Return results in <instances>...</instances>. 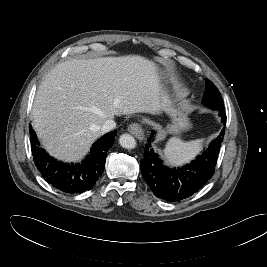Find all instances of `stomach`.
<instances>
[{
  "mask_svg": "<svg viewBox=\"0 0 267 267\" xmlns=\"http://www.w3.org/2000/svg\"><path fill=\"white\" fill-rule=\"evenodd\" d=\"M163 111L166 112L172 119V123L166 127V132L171 134H179L180 132L186 131L191 127L190 121L186 114L176 109L173 104V100L170 96L162 89L161 93Z\"/></svg>",
  "mask_w": 267,
  "mask_h": 267,
  "instance_id": "stomach-1",
  "label": "stomach"
}]
</instances>
